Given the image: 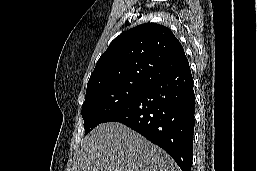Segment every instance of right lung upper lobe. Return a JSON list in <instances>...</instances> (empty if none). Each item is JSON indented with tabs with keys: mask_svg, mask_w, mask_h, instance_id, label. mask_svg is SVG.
I'll return each instance as SVG.
<instances>
[{
	"mask_svg": "<svg viewBox=\"0 0 257 171\" xmlns=\"http://www.w3.org/2000/svg\"><path fill=\"white\" fill-rule=\"evenodd\" d=\"M188 64L181 43L171 30L145 23L111 42L97 61L86 91L114 83L150 85Z\"/></svg>",
	"mask_w": 257,
	"mask_h": 171,
	"instance_id": "cb5924a9",
	"label": "right lung upper lobe"
}]
</instances>
